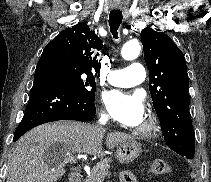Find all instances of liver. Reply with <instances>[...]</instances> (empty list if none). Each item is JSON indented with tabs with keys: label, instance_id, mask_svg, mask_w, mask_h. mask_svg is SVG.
<instances>
[{
	"label": "liver",
	"instance_id": "1",
	"mask_svg": "<svg viewBox=\"0 0 211 182\" xmlns=\"http://www.w3.org/2000/svg\"><path fill=\"white\" fill-rule=\"evenodd\" d=\"M106 130L99 126L79 122L40 125L21 137L10 155L7 182H56L65 174V159H44L45 152L61 144L63 157L67 153H86L101 157L105 154L103 139ZM132 136L107 133L105 144L113 149Z\"/></svg>",
	"mask_w": 211,
	"mask_h": 182
}]
</instances>
